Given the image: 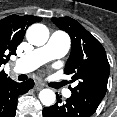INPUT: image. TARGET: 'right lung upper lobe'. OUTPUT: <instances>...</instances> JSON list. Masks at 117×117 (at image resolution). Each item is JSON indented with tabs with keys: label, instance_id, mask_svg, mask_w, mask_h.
I'll return each mask as SVG.
<instances>
[{
	"label": "right lung upper lobe",
	"instance_id": "cb5924a9",
	"mask_svg": "<svg viewBox=\"0 0 117 117\" xmlns=\"http://www.w3.org/2000/svg\"><path fill=\"white\" fill-rule=\"evenodd\" d=\"M41 17L32 15H11L0 20V86L12 80L7 77L1 66L16 54L17 46L22 42L26 29L33 23L41 21Z\"/></svg>",
	"mask_w": 117,
	"mask_h": 117
}]
</instances>
